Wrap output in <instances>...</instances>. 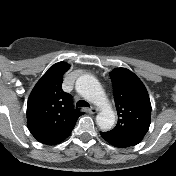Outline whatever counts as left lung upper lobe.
<instances>
[{"label": "left lung upper lobe", "mask_w": 176, "mask_h": 176, "mask_svg": "<svg viewBox=\"0 0 176 176\" xmlns=\"http://www.w3.org/2000/svg\"><path fill=\"white\" fill-rule=\"evenodd\" d=\"M118 113L116 127L107 132L122 141L136 145L147 133L151 119V104L140 79L125 68L110 73Z\"/></svg>", "instance_id": "obj_1"}]
</instances>
